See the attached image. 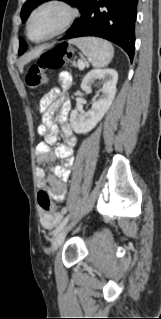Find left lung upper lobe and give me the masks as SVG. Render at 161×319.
<instances>
[{
    "label": "left lung upper lobe",
    "instance_id": "5c2ea615",
    "mask_svg": "<svg viewBox=\"0 0 161 319\" xmlns=\"http://www.w3.org/2000/svg\"><path fill=\"white\" fill-rule=\"evenodd\" d=\"M46 1H49V0H27L25 2V4L23 5L22 10H21L22 21L25 22L27 17L31 13V11L34 8H36L38 5H40L41 3L46 2ZM60 1H64V2H67L71 5H73V6H76L80 10L81 17H82L90 0H60ZM78 21H79V19L75 20V22L71 26L70 30L73 29V27L76 25V23ZM26 49H27V45H26L25 41L22 38H20L19 54H22L23 52H25Z\"/></svg>",
    "mask_w": 161,
    "mask_h": 319
}]
</instances>
